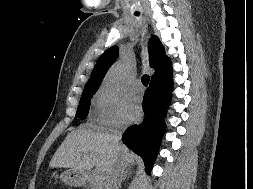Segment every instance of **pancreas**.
<instances>
[{
	"instance_id": "obj_1",
	"label": "pancreas",
	"mask_w": 253,
	"mask_h": 189,
	"mask_svg": "<svg viewBox=\"0 0 253 189\" xmlns=\"http://www.w3.org/2000/svg\"><path fill=\"white\" fill-rule=\"evenodd\" d=\"M104 177L98 172H93L89 174L88 182L91 189H103Z\"/></svg>"
}]
</instances>
